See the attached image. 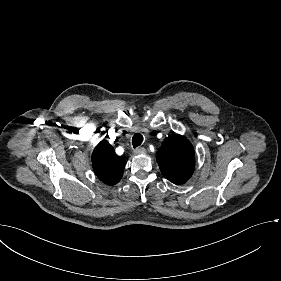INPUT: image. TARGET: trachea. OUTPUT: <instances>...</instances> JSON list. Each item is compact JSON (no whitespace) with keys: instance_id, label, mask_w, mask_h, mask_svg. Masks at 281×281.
I'll list each match as a JSON object with an SVG mask.
<instances>
[{"instance_id":"trachea-1","label":"trachea","mask_w":281,"mask_h":281,"mask_svg":"<svg viewBox=\"0 0 281 281\" xmlns=\"http://www.w3.org/2000/svg\"><path fill=\"white\" fill-rule=\"evenodd\" d=\"M143 140H144L143 135L140 133H136L132 138L133 148L140 146L142 144Z\"/></svg>"}]
</instances>
